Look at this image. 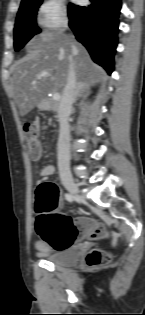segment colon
<instances>
[{"label":"colon","instance_id":"obj_1","mask_svg":"<svg viewBox=\"0 0 145 315\" xmlns=\"http://www.w3.org/2000/svg\"><path fill=\"white\" fill-rule=\"evenodd\" d=\"M24 135L31 155L39 158L41 146L37 130L33 124L23 126ZM60 203L58 186L53 182H43L36 189L35 211L36 231L43 241L59 250L71 246L78 239L101 238L106 235L104 226L97 221L81 217H71L57 211ZM109 258L100 250L91 251L86 262L89 266H99Z\"/></svg>","mask_w":145,"mask_h":315}]
</instances>
